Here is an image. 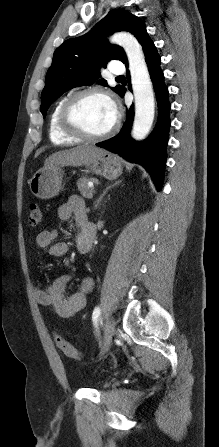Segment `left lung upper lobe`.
Segmentation results:
<instances>
[{
	"label": "left lung upper lobe",
	"instance_id": "1",
	"mask_svg": "<svg viewBox=\"0 0 219 447\" xmlns=\"http://www.w3.org/2000/svg\"><path fill=\"white\" fill-rule=\"evenodd\" d=\"M129 31L140 43L148 36L144 22L125 10L110 11L88 33L69 39L59 46L46 74V84L41 93L40 111L45 118L52 102L64 92L82 85L98 84L107 86L101 77V68H106L110 60L127 62L126 54L120 46L111 45L106 37L117 31ZM120 96L124 87L111 88Z\"/></svg>",
	"mask_w": 219,
	"mask_h": 447
}]
</instances>
